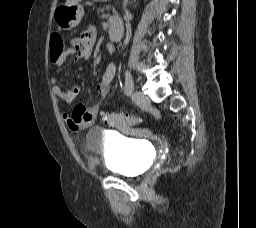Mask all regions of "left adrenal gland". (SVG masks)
Masks as SVG:
<instances>
[{
	"label": "left adrenal gland",
	"mask_w": 256,
	"mask_h": 228,
	"mask_svg": "<svg viewBox=\"0 0 256 228\" xmlns=\"http://www.w3.org/2000/svg\"><path fill=\"white\" fill-rule=\"evenodd\" d=\"M127 3H128V0H124V10L126 9Z\"/></svg>",
	"instance_id": "1"
}]
</instances>
